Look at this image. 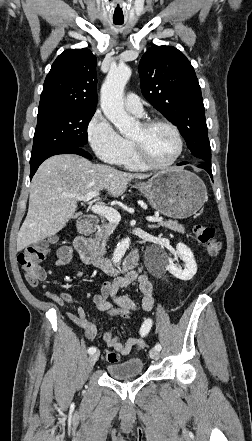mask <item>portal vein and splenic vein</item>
<instances>
[{
	"label": "portal vein and splenic vein",
	"mask_w": 252,
	"mask_h": 441,
	"mask_svg": "<svg viewBox=\"0 0 252 441\" xmlns=\"http://www.w3.org/2000/svg\"><path fill=\"white\" fill-rule=\"evenodd\" d=\"M98 195L99 192L95 191V192H90L84 196L70 195V197L76 198L79 201L89 202L92 198L97 197ZM89 209H91L93 213L105 217L112 224H118L121 220V216L119 212L115 209L108 208L102 205L89 206ZM146 220L149 222H160L163 220V218L158 216L147 217Z\"/></svg>",
	"instance_id": "1"
}]
</instances>
